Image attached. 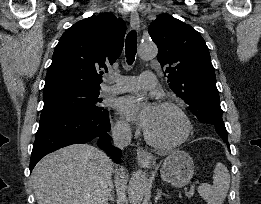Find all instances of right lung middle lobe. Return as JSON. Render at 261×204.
<instances>
[{
	"label": "right lung middle lobe",
	"instance_id": "obj_1",
	"mask_svg": "<svg viewBox=\"0 0 261 204\" xmlns=\"http://www.w3.org/2000/svg\"><path fill=\"white\" fill-rule=\"evenodd\" d=\"M99 90H68L44 94L42 112L61 108H100Z\"/></svg>",
	"mask_w": 261,
	"mask_h": 204
}]
</instances>
